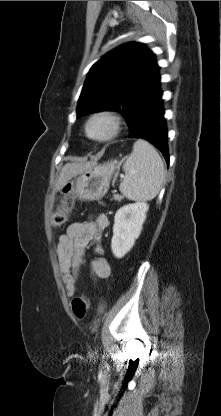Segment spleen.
<instances>
[{"instance_id":"obj_1","label":"spleen","mask_w":221,"mask_h":416,"mask_svg":"<svg viewBox=\"0 0 221 416\" xmlns=\"http://www.w3.org/2000/svg\"><path fill=\"white\" fill-rule=\"evenodd\" d=\"M120 192L129 200L149 201L157 196L165 179L163 161L155 148L139 139L123 165Z\"/></svg>"}]
</instances>
